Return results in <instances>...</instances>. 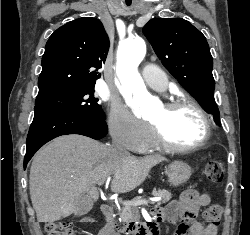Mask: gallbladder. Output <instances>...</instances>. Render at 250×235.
I'll use <instances>...</instances> for the list:
<instances>
[{
	"label": "gallbladder",
	"instance_id": "obj_1",
	"mask_svg": "<svg viewBox=\"0 0 250 235\" xmlns=\"http://www.w3.org/2000/svg\"><path fill=\"white\" fill-rule=\"evenodd\" d=\"M91 209H92L91 202L85 197H80L75 202L74 214L76 216H83L87 214Z\"/></svg>",
	"mask_w": 250,
	"mask_h": 235
}]
</instances>
